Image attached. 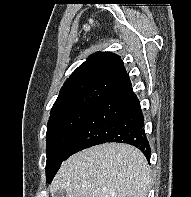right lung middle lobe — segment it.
<instances>
[{"label":"right lung middle lobe","instance_id":"1","mask_svg":"<svg viewBox=\"0 0 191 197\" xmlns=\"http://www.w3.org/2000/svg\"><path fill=\"white\" fill-rule=\"evenodd\" d=\"M94 106L69 109L50 115L46 134V180L50 183Z\"/></svg>","mask_w":191,"mask_h":197}]
</instances>
